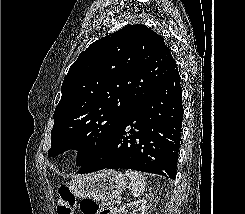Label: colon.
<instances>
[{
    "label": "colon",
    "mask_w": 245,
    "mask_h": 214,
    "mask_svg": "<svg viewBox=\"0 0 245 214\" xmlns=\"http://www.w3.org/2000/svg\"><path fill=\"white\" fill-rule=\"evenodd\" d=\"M76 206V197L68 187H60L58 190L57 214H73ZM82 214H115V210L109 205H99L93 199H83L80 203Z\"/></svg>",
    "instance_id": "obj_1"
}]
</instances>
